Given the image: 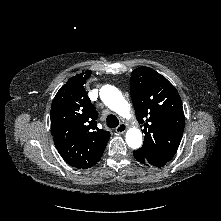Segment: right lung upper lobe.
Segmentation results:
<instances>
[{"mask_svg":"<svg viewBox=\"0 0 221 221\" xmlns=\"http://www.w3.org/2000/svg\"><path fill=\"white\" fill-rule=\"evenodd\" d=\"M91 71L70 78L51 106V134L62 158L71 166L87 169L102 157L110 133L98 129L97 111L84 89Z\"/></svg>","mask_w":221,"mask_h":221,"instance_id":"obj_1","label":"right lung upper lobe"}]
</instances>
